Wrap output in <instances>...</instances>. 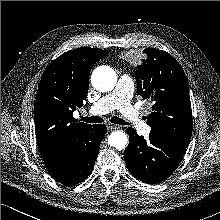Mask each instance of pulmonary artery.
Returning a JSON list of instances; mask_svg holds the SVG:
<instances>
[{
	"instance_id": "1",
	"label": "pulmonary artery",
	"mask_w": 220,
	"mask_h": 220,
	"mask_svg": "<svg viewBox=\"0 0 220 220\" xmlns=\"http://www.w3.org/2000/svg\"><path fill=\"white\" fill-rule=\"evenodd\" d=\"M133 90L134 80L129 75H120L115 88L94 102L89 108V113L103 115L117 109L128 123L144 133H149L150 127L141 120L139 111L131 104Z\"/></svg>"
}]
</instances>
